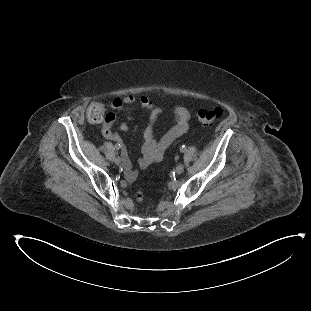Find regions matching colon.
Wrapping results in <instances>:
<instances>
[{
    "mask_svg": "<svg viewBox=\"0 0 311 311\" xmlns=\"http://www.w3.org/2000/svg\"><path fill=\"white\" fill-rule=\"evenodd\" d=\"M109 108L101 102L92 103L87 109V119L92 124H102L107 121ZM223 109L220 107L202 108L198 111V121L202 126H210L214 121L223 116ZM142 197V192H139Z\"/></svg>",
    "mask_w": 311,
    "mask_h": 311,
    "instance_id": "1",
    "label": "colon"
}]
</instances>
